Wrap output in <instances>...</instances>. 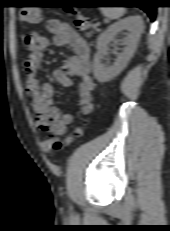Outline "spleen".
I'll use <instances>...</instances> for the list:
<instances>
[{
    "label": "spleen",
    "mask_w": 170,
    "mask_h": 231,
    "mask_svg": "<svg viewBox=\"0 0 170 231\" xmlns=\"http://www.w3.org/2000/svg\"><path fill=\"white\" fill-rule=\"evenodd\" d=\"M100 9L105 17L111 19H119L125 13V8L123 7H102Z\"/></svg>",
    "instance_id": "obj_1"
}]
</instances>
